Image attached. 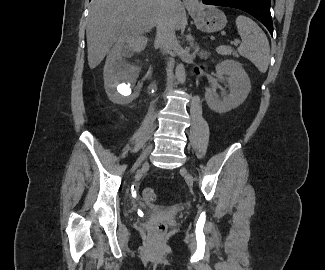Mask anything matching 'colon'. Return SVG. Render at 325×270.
Segmentation results:
<instances>
[{
  "label": "colon",
  "mask_w": 325,
  "mask_h": 270,
  "mask_svg": "<svg viewBox=\"0 0 325 270\" xmlns=\"http://www.w3.org/2000/svg\"><path fill=\"white\" fill-rule=\"evenodd\" d=\"M143 198L148 202L154 201L156 198V193H155L154 189L145 188L143 190ZM165 230H166V226L163 223H158L154 227V231L157 233H163V232H165Z\"/></svg>",
  "instance_id": "5ec220e1"
}]
</instances>
